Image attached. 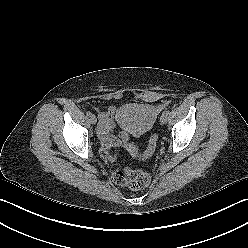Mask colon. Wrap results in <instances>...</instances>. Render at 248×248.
I'll list each match as a JSON object with an SVG mask.
<instances>
[{"instance_id": "5ec220e1", "label": "colon", "mask_w": 248, "mask_h": 248, "mask_svg": "<svg viewBox=\"0 0 248 248\" xmlns=\"http://www.w3.org/2000/svg\"><path fill=\"white\" fill-rule=\"evenodd\" d=\"M157 142V136L155 134L150 138L147 150L142 157H147L152 154L155 149ZM129 151L135 155H139L137 148L133 144H127L126 146ZM113 180L116 184L125 186L130 190H140L145 188L150 181L148 173L141 169H132L129 167L124 168L123 170L116 171L113 175Z\"/></svg>"}]
</instances>
